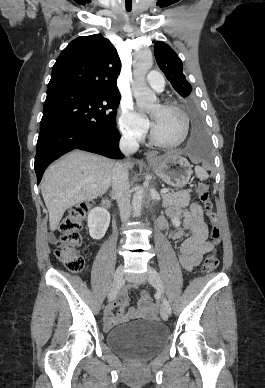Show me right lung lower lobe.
Returning a JSON list of instances; mask_svg holds the SVG:
<instances>
[{"label":"right lung lower lobe","instance_id":"98d812e1","mask_svg":"<svg viewBox=\"0 0 265 388\" xmlns=\"http://www.w3.org/2000/svg\"><path fill=\"white\" fill-rule=\"evenodd\" d=\"M118 130L106 132L84 125L65 124L40 131L34 169L37 184L47 166L72 149H82L113 159L123 157Z\"/></svg>","mask_w":265,"mask_h":388}]
</instances>
